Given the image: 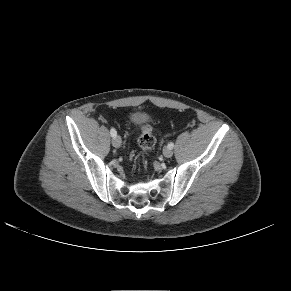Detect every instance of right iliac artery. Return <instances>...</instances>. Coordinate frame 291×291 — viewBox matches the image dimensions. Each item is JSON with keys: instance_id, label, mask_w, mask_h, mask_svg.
<instances>
[{"instance_id": "obj_1", "label": "right iliac artery", "mask_w": 291, "mask_h": 291, "mask_svg": "<svg viewBox=\"0 0 291 291\" xmlns=\"http://www.w3.org/2000/svg\"><path fill=\"white\" fill-rule=\"evenodd\" d=\"M110 134H111L112 137H116L117 136V132H116V130L114 128H111Z\"/></svg>"}]
</instances>
